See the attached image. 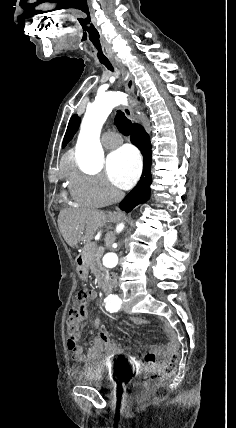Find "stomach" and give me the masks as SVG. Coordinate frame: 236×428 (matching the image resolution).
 <instances>
[{"instance_id":"0dacf381","label":"stomach","mask_w":236,"mask_h":428,"mask_svg":"<svg viewBox=\"0 0 236 428\" xmlns=\"http://www.w3.org/2000/svg\"><path fill=\"white\" fill-rule=\"evenodd\" d=\"M78 274L80 279H84L85 282L91 281L90 271L88 266H79Z\"/></svg>"}]
</instances>
